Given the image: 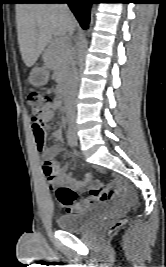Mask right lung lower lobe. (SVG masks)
Segmentation results:
<instances>
[{
	"label": "right lung lower lobe",
	"mask_w": 166,
	"mask_h": 267,
	"mask_svg": "<svg viewBox=\"0 0 166 267\" xmlns=\"http://www.w3.org/2000/svg\"><path fill=\"white\" fill-rule=\"evenodd\" d=\"M67 3L83 29L88 28L92 0H29L19 3Z\"/></svg>",
	"instance_id": "right-lung-lower-lobe-1"
}]
</instances>
